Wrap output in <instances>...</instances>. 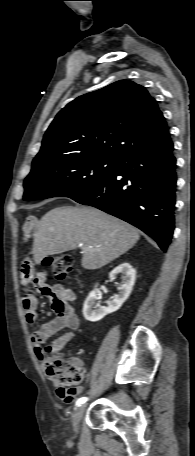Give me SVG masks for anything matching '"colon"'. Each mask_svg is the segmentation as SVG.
Returning a JSON list of instances; mask_svg holds the SVG:
<instances>
[{
  "mask_svg": "<svg viewBox=\"0 0 195 456\" xmlns=\"http://www.w3.org/2000/svg\"><path fill=\"white\" fill-rule=\"evenodd\" d=\"M44 263L51 267L56 280L65 281L72 277L74 258L70 254L62 253L46 257ZM44 357V369L47 375L61 385L75 387L83 381L85 371L75 359L63 358L50 350L45 351Z\"/></svg>",
  "mask_w": 195,
  "mask_h": 456,
  "instance_id": "obj_1",
  "label": "colon"
}]
</instances>
